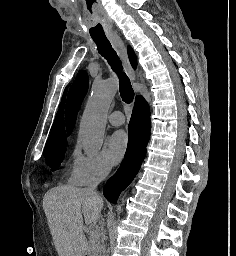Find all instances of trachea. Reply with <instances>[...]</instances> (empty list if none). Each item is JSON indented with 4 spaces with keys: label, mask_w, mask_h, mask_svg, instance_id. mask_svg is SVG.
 Segmentation results:
<instances>
[{
    "label": "trachea",
    "mask_w": 236,
    "mask_h": 256,
    "mask_svg": "<svg viewBox=\"0 0 236 256\" xmlns=\"http://www.w3.org/2000/svg\"><path fill=\"white\" fill-rule=\"evenodd\" d=\"M98 47L99 53L102 57L106 58L112 70L117 73L119 78V91L122 100L125 103H132L134 99V90L126 73L123 71L121 61L115 50L112 48L111 43L107 38L94 39Z\"/></svg>",
    "instance_id": "obj_1"
}]
</instances>
